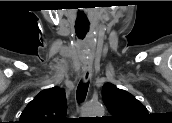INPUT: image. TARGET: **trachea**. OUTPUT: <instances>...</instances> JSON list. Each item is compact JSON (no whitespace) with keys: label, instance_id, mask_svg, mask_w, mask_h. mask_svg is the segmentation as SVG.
<instances>
[{"label":"trachea","instance_id":"1","mask_svg":"<svg viewBox=\"0 0 172 123\" xmlns=\"http://www.w3.org/2000/svg\"><path fill=\"white\" fill-rule=\"evenodd\" d=\"M88 87H89V82H87V83L80 82L79 83V85L77 87V92H76L78 103H81L85 100L87 91H88Z\"/></svg>","mask_w":172,"mask_h":123}]
</instances>
